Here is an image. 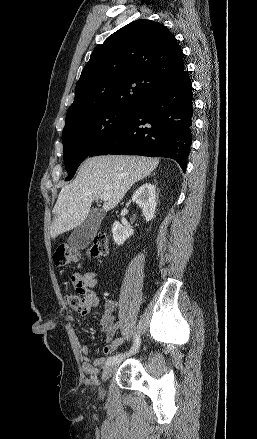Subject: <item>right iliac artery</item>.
Wrapping results in <instances>:
<instances>
[{
  "mask_svg": "<svg viewBox=\"0 0 257 439\" xmlns=\"http://www.w3.org/2000/svg\"><path fill=\"white\" fill-rule=\"evenodd\" d=\"M139 347H140V337L136 334V335H135V340H134L133 347L130 349L129 352L121 353V354H116V355L110 356V357L107 358L105 364H106V365L114 364V363H116V362L122 360L123 358H125V356H128V355H130V354L135 353V352L138 350Z\"/></svg>",
  "mask_w": 257,
  "mask_h": 439,
  "instance_id": "82829eb1",
  "label": "right iliac artery"
}]
</instances>
